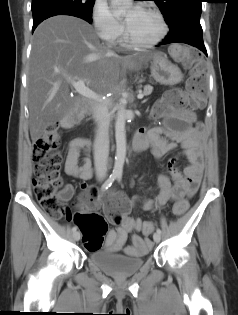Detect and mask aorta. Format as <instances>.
<instances>
[{"instance_id": "obj_1", "label": "aorta", "mask_w": 238, "mask_h": 315, "mask_svg": "<svg viewBox=\"0 0 238 315\" xmlns=\"http://www.w3.org/2000/svg\"><path fill=\"white\" fill-rule=\"evenodd\" d=\"M129 7V4L126 3L120 8V12H125ZM125 108L122 103L118 106L117 119L115 122V139H116V155L113 173L115 175H121L123 171V166L126 157V132H125Z\"/></svg>"}]
</instances>
